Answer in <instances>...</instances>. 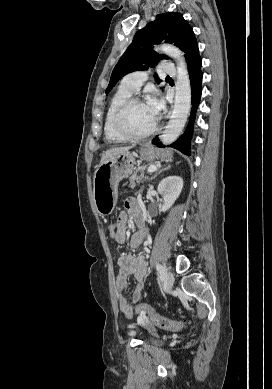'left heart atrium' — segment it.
<instances>
[{
	"mask_svg": "<svg viewBox=\"0 0 272 389\" xmlns=\"http://www.w3.org/2000/svg\"><path fill=\"white\" fill-rule=\"evenodd\" d=\"M146 105L148 106L153 117L156 119L163 107L161 99L158 97V95L154 94L148 99Z\"/></svg>",
	"mask_w": 272,
	"mask_h": 389,
	"instance_id": "obj_1",
	"label": "left heart atrium"
}]
</instances>
